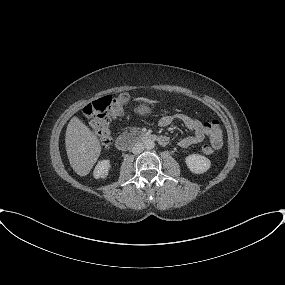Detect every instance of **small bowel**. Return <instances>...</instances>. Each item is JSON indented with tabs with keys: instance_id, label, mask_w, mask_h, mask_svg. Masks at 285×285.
Wrapping results in <instances>:
<instances>
[{
	"instance_id": "small-bowel-1",
	"label": "small bowel",
	"mask_w": 285,
	"mask_h": 285,
	"mask_svg": "<svg viewBox=\"0 0 285 285\" xmlns=\"http://www.w3.org/2000/svg\"><path fill=\"white\" fill-rule=\"evenodd\" d=\"M175 120L181 121L184 126L191 132V135L182 138L179 141V146L182 148H188L192 145L200 144L204 141L207 135L205 125L198 119L191 117L183 113H175L172 115L163 116L158 124L166 127L171 125Z\"/></svg>"
}]
</instances>
